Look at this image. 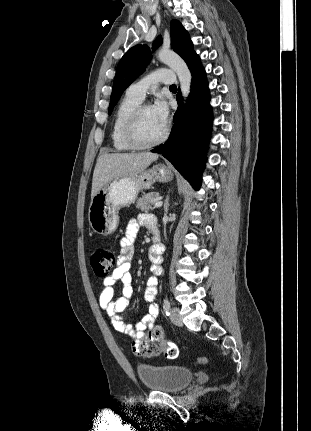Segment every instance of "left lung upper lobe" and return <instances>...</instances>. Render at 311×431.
<instances>
[{"instance_id":"5c2ea615","label":"left lung upper lobe","mask_w":311,"mask_h":431,"mask_svg":"<svg viewBox=\"0 0 311 431\" xmlns=\"http://www.w3.org/2000/svg\"><path fill=\"white\" fill-rule=\"evenodd\" d=\"M171 46L172 49L189 64L196 54L188 32L178 20L171 21ZM162 43V38L158 37L153 47H158ZM151 54L146 45H136L130 48L120 60L113 83V90L110 98L109 114L118 102L124 90L144 71Z\"/></svg>"}]
</instances>
